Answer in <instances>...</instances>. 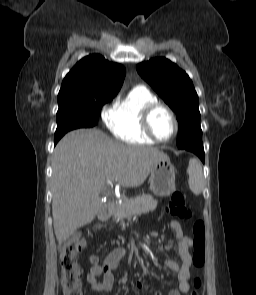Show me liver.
Listing matches in <instances>:
<instances>
[{
  "mask_svg": "<svg viewBox=\"0 0 256 295\" xmlns=\"http://www.w3.org/2000/svg\"><path fill=\"white\" fill-rule=\"evenodd\" d=\"M167 157L154 147L116 142L98 129L66 134L52 162V215L58 243L94 220L101 207L100 194L109 182L138 187Z\"/></svg>",
  "mask_w": 256,
  "mask_h": 295,
  "instance_id": "1",
  "label": "liver"
}]
</instances>
